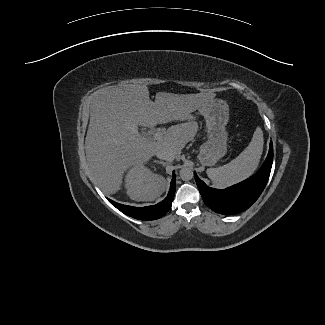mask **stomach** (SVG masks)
Instances as JSON below:
<instances>
[{
  "label": "stomach",
  "instance_id": "obj_1",
  "mask_svg": "<svg viewBox=\"0 0 325 325\" xmlns=\"http://www.w3.org/2000/svg\"><path fill=\"white\" fill-rule=\"evenodd\" d=\"M199 111L206 120L208 140L200 147L198 160L204 166H213L226 154L229 106L224 100L213 99Z\"/></svg>",
  "mask_w": 325,
  "mask_h": 325
}]
</instances>
